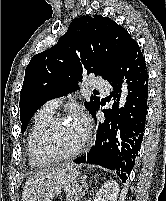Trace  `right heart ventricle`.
Here are the masks:
<instances>
[{"label":"right heart ventricle","mask_w":166,"mask_h":201,"mask_svg":"<svg viewBox=\"0 0 166 201\" xmlns=\"http://www.w3.org/2000/svg\"><path fill=\"white\" fill-rule=\"evenodd\" d=\"M53 114H54V111H51L44 107L40 109L33 117L32 124L30 127L29 137H28V146H27L29 164L31 167L35 168L41 165L49 164V163H45V164L38 163L35 159L33 148H34V138H35L37 129L43 122L51 118Z\"/></svg>","instance_id":"e07e8e85"}]
</instances>
